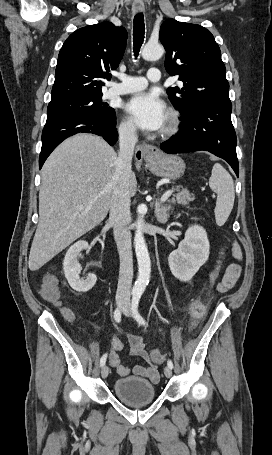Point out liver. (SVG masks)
<instances>
[{
	"mask_svg": "<svg viewBox=\"0 0 272 455\" xmlns=\"http://www.w3.org/2000/svg\"><path fill=\"white\" fill-rule=\"evenodd\" d=\"M117 153L102 138L77 134L48 157L41 171L39 223L29 254L37 271L107 216L113 192ZM137 180L129 176L134 196Z\"/></svg>",
	"mask_w": 272,
	"mask_h": 455,
	"instance_id": "6515ba94",
	"label": "liver"
}]
</instances>
